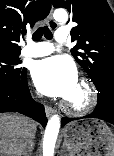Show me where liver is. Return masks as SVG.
Returning <instances> with one entry per match:
<instances>
[{"mask_svg": "<svg viewBox=\"0 0 114 156\" xmlns=\"http://www.w3.org/2000/svg\"><path fill=\"white\" fill-rule=\"evenodd\" d=\"M37 124L18 114H0V156H21L33 141Z\"/></svg>", "mask_w": 114, "mask_h": 156, "instance_id": "1", "label": "liver"}]
</instances>
